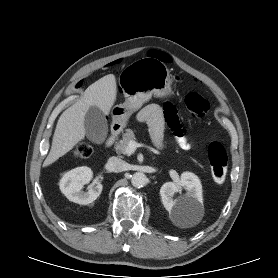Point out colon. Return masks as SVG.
I'll use <instances>...</instances> for the list:
<instances>
[{
  "instance_id": "obj_1",
  "label": "colon",
  "mask_w": 278,
  "mask_h": 278,
  "mask_svg": "<svg viewBox=\"0 0 278 278\" xmlns=\"http://www.w3.org/2000/svg\"><path fill=\"white\" fill-rule=\"evenodd\" d=\"M188 111L196 118L203 117L209 110V103L197 93H189L185 97ZM92 153V147L87 143H80L75 149L76 156L87 158ZM208 159L211 173L217 184H222L227 174L228 157L225 147L218 141H213L208 146Z\"/></svg>"
}]
</instances>
